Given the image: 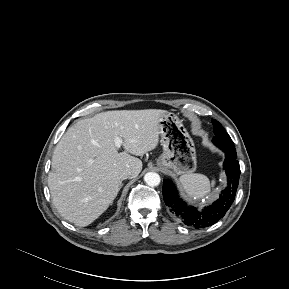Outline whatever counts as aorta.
Here are the masks:
<instances>
[{
  "instance_id": "aorta-1",
  "label": "aorta",
  "mask_w": 289,
  "mask_h": 289,
  "mask_svg": "<svg viewBox=\"0 0 289 289\" xmlns=\"http://www.w3.org/2000/svg\"><path fill=\"white\" fill-rule=\"evenodd\" d=\"M144 181L146 182L148 186L155 187L160 184L161 179H160L159 174L155 172H149L145 174Z\"/></svg>"
}]
</instances>
